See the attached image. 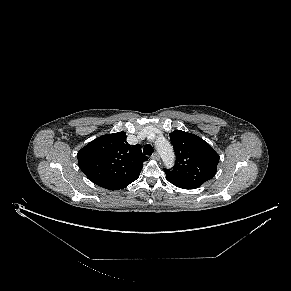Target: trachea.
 <instances>
[{"label":"trachea","mask_w":291,"mask_h":291,"mask_svg":"<svg viewBox=\"0 0 291 291\" xmlns=\"http://www.w3.org/2000/svg\"><path fill=\"white\" fill-rule=\"evenodd\" d=\"M143 153L145 155H152L153 147L150 144L145 145L144 148H143Z\"/></svg>","instance_id":"trachea-1"}]
</instances>
